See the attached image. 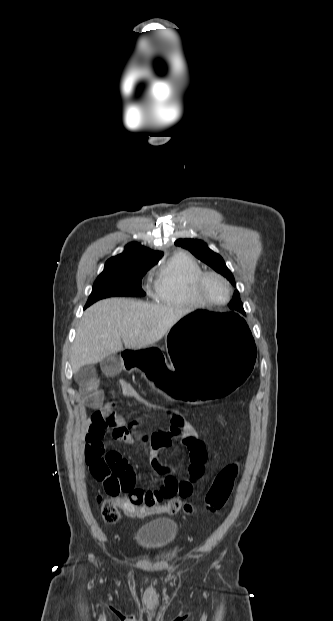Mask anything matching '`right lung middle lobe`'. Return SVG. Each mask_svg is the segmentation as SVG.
I'll list each match as a JSON object with an SVG mask.
<instances>
[{
  "mask_svg": "<svg viewBox=\"0 0 333 621\" xmlns=\"http://www.w3.org/2000/svg\"><path fill=\"white\" fill-rule=\"evenodd\" d=\"M151 267L152 265L136 263H106L104 271L93 285L85 308L106 297L145 296L141 279Z\"/></svg>",
  "mask_w": 333,
  "mask_h": 621,
  "instance_id": "dd1d6c3e",
  "label": "right lung middle lobe"
}]
</instances>
